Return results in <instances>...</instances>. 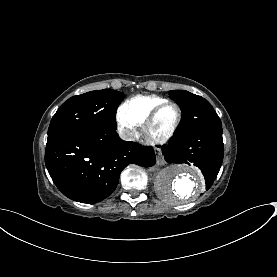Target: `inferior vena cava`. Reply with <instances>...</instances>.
<instances>
[{"instance_id":"1","label":"inferior vena cava","mask_w":277,"mask_h":277,"mask_svg":"<svg viewBox=\"0 0 277 277\" xmlns=\"http://www.w3.org/2000/svg\"><path fill=\"white\" fill-rule=\"evenodd\" d=\"M119 136L121 139L123 140H133L134 139V135H132L130 132H119Z\"/></svg>"}]
</instances>
